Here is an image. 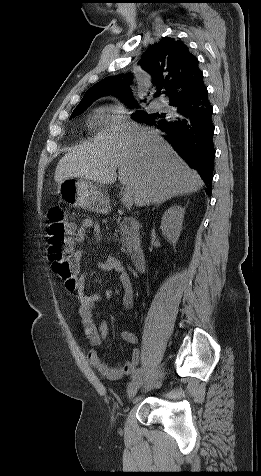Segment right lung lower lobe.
<instances>
[{
    "label": "right lung lower lobe",
    "mask_w": 261,
    "mask_h": 476,
    "mask_svg": "<svg viewBox=\"0 0 261 476\" xmlns=\"http://www.w3.org/2000/svg\"><path fill=\"white\" fill-rule=\"evenodd\" d=\"M175 115H164L148 124L166 133L164 138L200 174L209 189L214 169L215 149L212 106L203 85L190 97L172 104ZM211 192V190H209Z\"/></svg>",
    "instance_id": "obj_1"
}]
</instances>
